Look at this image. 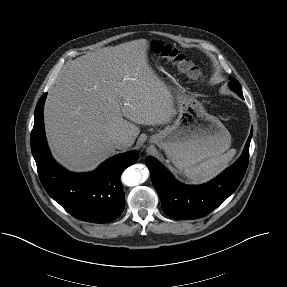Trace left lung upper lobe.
Here are the masks:
<instances>
[{
    "label": "left lung upper lobe",
    "mask_w": 287,
    "mask_h": 287,
    "mask_svg": "<svg viewBox=\"0 0 287 287\" xmlns=\"http://www.w3.org/2000/svg\"><path fill=\"white\" fill-rule=\"evenodd\" d=\"M231 88L237 92V94L242 97L243 94H242V89H241V85L239 84V82L237 80H233L232 81V85H231Z\"/></svg>",
    "instance_id": "5c2ea615"
}]
</instances>
